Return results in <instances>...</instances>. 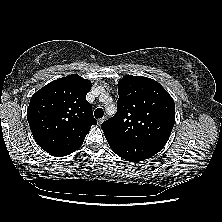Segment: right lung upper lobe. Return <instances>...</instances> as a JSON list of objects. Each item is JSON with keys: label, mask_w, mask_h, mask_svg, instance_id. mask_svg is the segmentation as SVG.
<instances>
[{"label": "right lung upper lobe", "mask_w": 222, "mask_h": 222, "mask_svg": "<svg viewBox=\"0 0 222 222\" xmlns=\"http://www.w3.org/2000/svg\"><path fill=\"white\" fill-rule=\"evenodd\" d=\"M90 89L89 80L72 74L52 81L31 97L27 120L44 151L62 157L80 148L91 126L97 124L86 100Z\"/></svg>", "instance_id": "right-lung-upper-lobe-1"}]
</instances>
